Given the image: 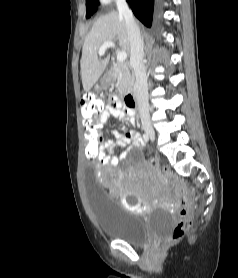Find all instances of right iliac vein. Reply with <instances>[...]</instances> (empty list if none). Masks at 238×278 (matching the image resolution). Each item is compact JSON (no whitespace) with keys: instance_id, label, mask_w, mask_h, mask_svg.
<instances>
[{"instance_id":"obj_1","label":"right iliac vein","mask_w":238,"mask_h":278,"mask_svg":"<svg viewBox=\"0 0 238 278\" xmlns=\"http://www.w3.org/2000/svg\"><path fill=\"white\" fill-rule=\"evenodd\" d=\"M146 134L150 137L151 140L155 139V132L153 130V128L149 125H146L144 127Z\"/></svg>"}]
</instances>
